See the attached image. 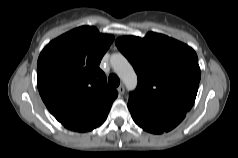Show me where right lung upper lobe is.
<instances>
[{"label": "right lung upper lobe", "mask_w": 238, "mask_h": 158, "mask_svg": "<svg viewBox=\"0 0 238 158\" xmlns=\"http://www.w3.org/2000/svg\"><path fill=\"white\" fill-rule=\"evenodd\" d=\"M114 40L81 26L51 41L37 62V86L54 116L110 109L117 91L106 83L100 61Z\"/></svg>", "instance_id": "right-lung-upper-lobe-1"}]
</instances>
